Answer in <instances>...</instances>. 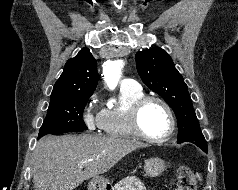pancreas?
Segmentation results:
<instances>
[{
  "label": "pancreas",
  "instance_id": "pancreas-1",
  "mask_svg": "<svg viewBox=\"0 0 238 190\" xmlns=\"http://www.w3.org/2000/svg\"><path fill=\"white\" fill-rule=\"evenodd\" d=\"M112 190H146L140 179L136 177H126L119 181Z\"/></svg>",
  "mask_w": 238,
  "mask_h": 190
}]
</instances>
